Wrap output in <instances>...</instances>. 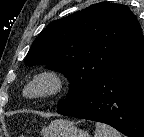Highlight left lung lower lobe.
<instances>
[{"label": "left lung lower lobe", "instance_id": "obj_1", "mask_svg": "<svg viewBox=\"0 0 144 137\" xmlns=\"http://www.w3.org/2000/svg\"><path fill=\"white\" fill-rule=\"evenodd\" d=\"M62 115L108 124L128 137H144V37L132 51Z\"/></svg>", "mask_w": 144, "mask_h": 137}]
</instances>
